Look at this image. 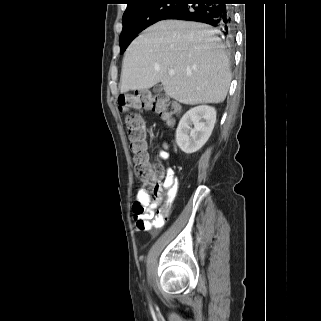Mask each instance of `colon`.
Instances as JSON below:
<instances>
[{
	"label": "colon",
	"mask_w": 321,
	"mask_h": 321,
	"mask_svg": "<svg viewBox=\"0 0 321 321\" xmlns=\"http://www.w3.org/2000/svg\"><path fill=\"white\" fill-rule=\"evenodd\" d=\"M118 104L122 111L128 112L126 125L135 163V175L147 191L160 195L158 178L161 174V166L158 162L150 160L147 153L146 128L143 118L140 114L130 112V110H151L158 113L164 120L171 122L172 117L178 112V105L165 96H151L146 92L122 96ZM134 209L138 213L144 212V208L139 204H136ZM169 213L170 208L168 207L163 206L159 209V214L164 218H167Z\"/></svg>",
	"instance_id": "5ec220e1"
}]
</instances>
